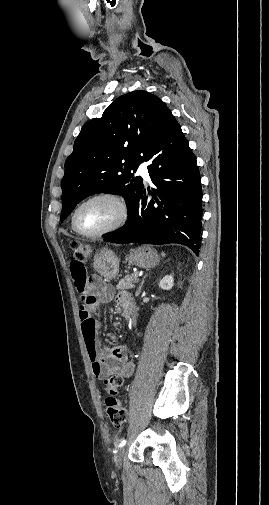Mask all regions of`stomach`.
<instances>
[{
    "label": "stomach",
    "instance_id": "stomach-1",
    "mask_svg": "<svg viewBox=\"0 0 269 505\" xmlns=\"http://www.w3.org/2000/svg\"><path fill=\"white\" fill-rule=\"evenodd\" d=\"M128 262L141 268H151L159 263V255L155 249L142 245L130 251ZM93 267L97 273L107 280H113L119 273V259L111 250H103L94 257Z\"/></svg>",
    "mask_w": 269,
    "mask_h": 505
}]
</instances>
